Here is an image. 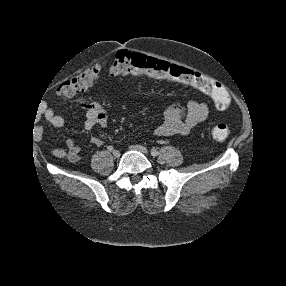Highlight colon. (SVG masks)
I'll return each mask as SVG.
<instances>
[{
	"label": "colon",
	"mask_w": 286,
	"mask_h": 286,
	"mask_svg": "<svg viewBox=\"0 0 286 286\" xmlns=\"http://www.w3.org/2000/svg\"><path fill=\"white\" fill-rule=\"evenodd\" d=\"M104 72H108L113 76L131 73L189 83L207 93L212 98L216 109L225 111L231 104L228 92L217 81L198 72L173 66L164 61L127 50L117 52L113 58L95 65L63 83L57 90V96L61 100L72 98L79 91L90 87ZM230 133L229 126L223 123L213 125L210 131L212 138L219 142L227 140Z\"/></svg>",
	"instance_id": "1"
}]
</instances>
